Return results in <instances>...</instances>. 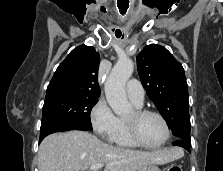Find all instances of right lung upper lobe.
I'll return each mask as SVG.
<instances>
[{"label": "right lung upper lobe", "mask_w": 223, "mask_h": 171, "mask_svg": "<svg viewBox=\"0 0 223 171\" xmlns=\"http://www.w3.org/2000/svg\"><path fill=\"white\" fill-rule=\"evenodd\" d=\"M99 63V53L93 47L80 45L73 49L54 73L46 99L60 95L99 97Z\"/></svg>", "instance_id": "1"}]
</instances>
